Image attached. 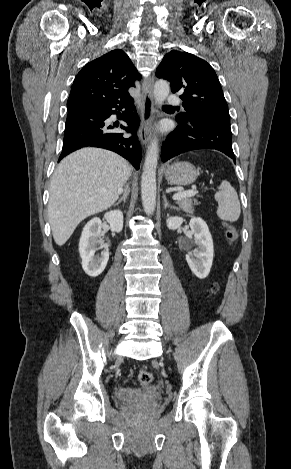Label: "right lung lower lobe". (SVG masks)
<instances>
[{
  "label": "right lung lower lobe",
  "instance_id": "1",
  "mask_svg": "<svg viewBox=\"0 0 291 469\" xmlns=\"http://www.w3.org/2000/svg\"><path fill=\"white\" fill-rule=\"evenodd\" d=\"M133 103V99L98 101L69 111L59 161L77 149L100 147L120 154L138 170L141 148L135 132L139 126V118L133 111ZM122 109L124 111L121 113ZM112 114L123 119L128 126L111 123L109 117ZM119 129L132 133V136L125 135Z\"/></svg>",
  "mask_w": 291,
  "mask_h": 469
}]
</instances>
